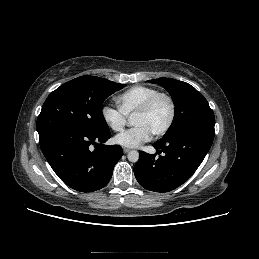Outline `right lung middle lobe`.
<instances>
[{"instance_id":"right-lung-middle-lobe-1","label":"right lung middle lobe","mask_w":259,"mask_h":259,"mask_svg":"<svg viewBox=\"0 0 259 259\" xmlns=\"http://www.w3.org/2000/svg\"><path fill=\"white\" fill-rule=\"evenodd\" d=\"M104 78L81 76L61 85L43 104L37 118V131L71 126L90 132L109 131L102 114L104 100L124 88Z\"/></svg>"}]
</instances>
